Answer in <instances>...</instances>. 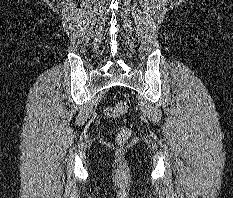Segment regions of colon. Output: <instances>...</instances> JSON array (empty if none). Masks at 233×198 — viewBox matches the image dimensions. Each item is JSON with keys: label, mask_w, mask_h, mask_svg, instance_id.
<instances>
[{"label": "colon", "mask_w": 233, "mask_h": 198, "mask_svg": "<svg viewBox=\"0 0 233 198\" xmlns=\"http://www.w3.org/2000/svg\"><path fill=\"white\" fill-rule=\"evenodd\" d=\"M128 109H129L128 103L125 101H121L115 104L114 106L107 107L105 109V114L108 117L117 118L126 114ZM130 137H131V129L126 126H122L119 128L116 134V142L119 145H124L130 139Z\"/></svg>", "instance_id": "obj_1"}]
</instances>
